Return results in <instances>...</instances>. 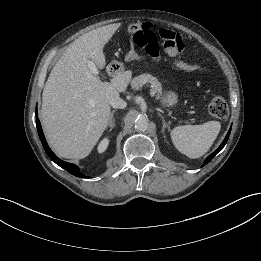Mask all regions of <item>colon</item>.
Listing matches in <instances>:
<instances>
[{
    "label": "colon",
    "instance_id": "obj_1",
    "mask_svg": "<svg viewBox=\"0 0 261 261\" xmlns=\"http://www.w3.org/2000/svg\"><path fill=\"white\" fill-rule=\"evenodd\" d=\"M127 30L132 34L133 42L143 48L149 57L158 59L160 46L156 34L151 30L146 23L128 25ZM159 36L166 52L171 56H176L183 50V41L181 37L164 29L159 31ZM178 65L185 70H195L199 67L197 64H190L182 60L178 61ZM209 113L218 119H226L229 115V107L227 101L221 96L213 97L208 103Z\"/></svg>",
    "mask_w": 261,
    "mask_h": 261
}]
</instances>
